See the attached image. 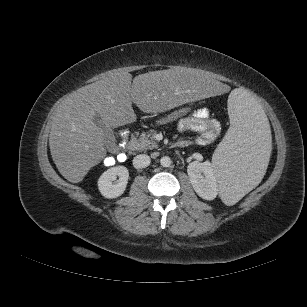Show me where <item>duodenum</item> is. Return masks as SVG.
<instances>
[{"label":"duodenum","mask_w":307,"mask_h":307,"mask_svg":"<svg viewBox=\"0 0 307 307\" xmlns=\"http://www.w3.org/2000/svg\"><path fill=\"white\" fill-rule=\"evenodd\" d=\"M174 145H175L176 147L182 148V147L187 146V143H186L185 141L178 140V141L175 142ZM136 147H137V142H136V140L130 139V140L127 142V144H126V146H125V148H124V151H123L122 153L126 154V153H128V152H133V151H135Z\"/></svg>","instance_id":"1"}]
</instances>
